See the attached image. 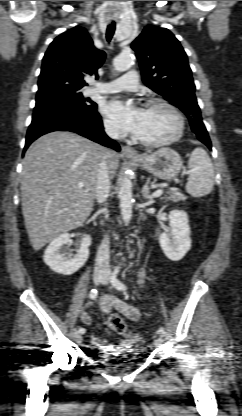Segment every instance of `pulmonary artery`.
<instances>
[{
	"instance_id": "e3ab8cb5",
	"label": "pulmonary artery",
	"mask_w": 242,
	"mask_h": 416,
	"mask_svg": "<svg viewBox=\"0 0 242 416\" xmlns=\"http://www.w3.org/2000/svg\"><path fill=\"white\" fill-rule=\"evenodd\" d=\"M140 87L138 74L135 70L128 71L124 76L97 85L93 91L98 93H117L121 91L133 92Z\"/></svg>"
}]
</instances>
